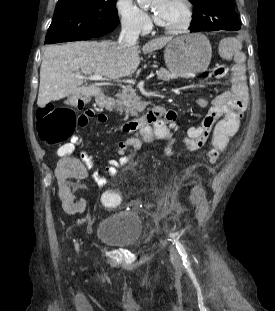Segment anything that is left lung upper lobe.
<instances>
[{"label": "left lung upper lobe", "instance_id": "obj_1", "mask_svg": "<svg viewBox=\"0 0 275 311\" xmlns=\"http://www.w3.org/2000/svg\"><path fill=\"white\" fill-rule=\"evenodd\" d=\"M195 10L192 15V29L236 31L241 22L235 12L233 0H189Z\"/></svg>", "mask_w": 275, "mask_h": 311}]
</instances>
